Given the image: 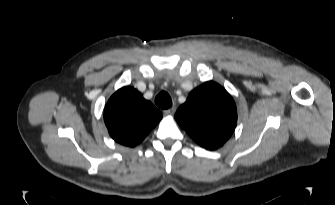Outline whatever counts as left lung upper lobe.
Returning a JSON list of instances; mask_svg holds the SVG:
<instances>
[{
	"label": "left lung upper lobe",
	"instance_id": "5c2ea615",
	"mask_svg": "<svg viewBox=\"0 0 335 205\" xmlns=\"http://www.w3.org/2000/svg\"><path fill=\"white\" fill-rule=\"evenodd\" d=\"M175 119L196 143L215 150L234 132L237 110L231 95L219 84L209 81L191 91Z\"/></svg>",
	"mask_w": 335,
	"mask_h": 205
}]
</instances>
